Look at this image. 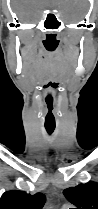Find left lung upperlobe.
Masks as SVG:
<instances>
[{
	"mask_svg": "<svg viewBox=\"0 0 98 209\" xmlns=\"http://www.w3.org/2000/svg\"><path fill=\"white\" fill-rule=\"evenodd\" d=\"M63 194L77 207L76 209H98V183L96 182L67 188Z\"/></svg>",
	"mask_w": 98,
	"mask_h": 209,
	"instance_id": "5c2ea615",
	"label": "left lung upper lobe"
}]
</instances>
